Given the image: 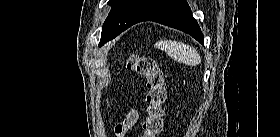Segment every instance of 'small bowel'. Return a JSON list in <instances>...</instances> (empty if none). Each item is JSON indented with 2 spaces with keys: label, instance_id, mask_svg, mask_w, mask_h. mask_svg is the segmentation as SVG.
I'll return each instance as SVG.
<instances>
[{
  "label": "small bowel",
  "instance_id": "obj_1",
  "mask_svg": "<svg viewBox=\"0 0 280 137\" xmlns=\"http://www.w3.org/2000/svg\"><path fill=\"white\" fill-rule=\"evenodd\" d=\"M138 111L130 109L121 123L127 124L129 128L133 127L138 120Z\"/></svg>",
  "mask_w": 280,
  "mask_h": 137
}]
</instances>
